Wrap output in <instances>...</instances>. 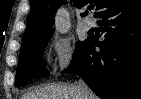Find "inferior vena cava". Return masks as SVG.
Returning a JSON list of instances; mask_svg holds the SVG:
<instances>
[{
	"instance_id": "1",
	"label": "inferior vena cava",
	"mask_w": 141,
	"mask_h": 99,
	"mask_svg": "<svg viewBox=\"0 0 141 99\" xmlns=\"http://www.w3.org/2000/svg\"><path fill=\"white\" fill-rule=\"evenodd\" d=\"M77 87L83 96V99H93L94 94L83 79H79Z\"/></svg>"
}]
</instances>
